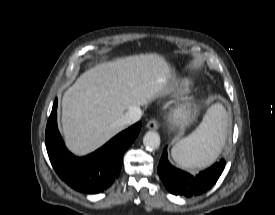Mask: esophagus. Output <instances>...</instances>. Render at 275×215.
Wrapping results in <instances>:
<instances>
[{
    "label": "esophagus",
    "mask_w": 275,
    "mask_h": 215,
    "mask_svg": "<svg viewBox=\"0 0 275 215\" xmlns=\"http://www.w3.org/2000/svg\"><path fill=\"white\" fill-rule=\"evenodd\" d=\"M146 128L149 130H157L158 129V121L156 119H151L146 124Z\"/></svg>",
    "instance_id": "obj_1"
}]
</instances>
